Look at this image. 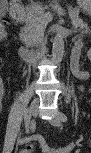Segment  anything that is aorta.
Here are the masks:
<instances>
[{"label":"aorta","instance_id":"762f6f07","mask_svg":"<svg viewBox=\"0 0 91 153\" xmlns=\"http://www.w3.org/2000/svg\"><path fill=\"white\" fill-rule=\"evenodd\" d=\"M64 55V39L61 34H57L53 40L52 57L53 61L58 64L62 61Z\"/></svg>","mask_w":91,"mask_h":153}]
</instances>
